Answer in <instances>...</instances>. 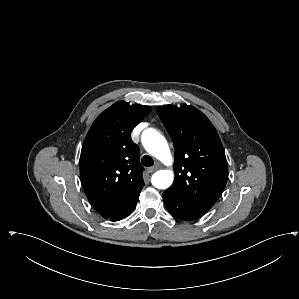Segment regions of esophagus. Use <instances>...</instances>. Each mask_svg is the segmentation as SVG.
<instances>
[{"label": "esophagus", "instance_id": "obj_1", "mask_svg": "<svg viewBox=\"0 0 299 299\" xmlns=\"http://www.w3.org/2000/svg\"><path fill=\"white\" fill-rule=\"evenodd\" d=\"M160 168H161L160 163H156L153 167H150V168L148 169V172H149V173H153L154 171H156V170H158V169H160Z\"/></svg>", "mask_w": 299, "mask_h": 299}]
</instances>
